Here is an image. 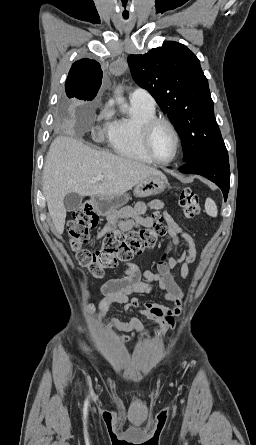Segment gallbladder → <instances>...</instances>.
I'll return each mask as SVG.
<instances>
[{"mask_svg": "<svg viewBox=\"0 0 256 445\" xmlns=\"http://www.w3.org/2000/svg\"><path fill=\"white\" fill-rule=\"evenodd\" d=\"M82 204V196L77 193H69L64 198V206L66 211L71 212L77 210Z\"/></svg>", "mask_w": 256, "mask_h": 445, "instance_id": "1", "label": "gallbladder"}]
</instances>
